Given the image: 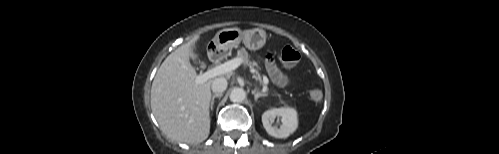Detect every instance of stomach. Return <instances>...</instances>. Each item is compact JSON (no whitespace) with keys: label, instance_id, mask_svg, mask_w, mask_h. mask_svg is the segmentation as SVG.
<instances>
[{"label":"stomach","instance_id":"0dacf381","mask_svg":"<svg viewBox=\"0 0 499 154\" xmlns=\"http://www.w3.org/2000/svg\"><path fill=\"white\" fill-rule=\"evenodd\" d=\"M240 42H243L249 50H259L266 43V32L260 28L245 31L239 28H227L219 31L213 39L216 49L222 51L232 49Z\"/></svg>","mask_w":499,"mask_h":154}]
</instances>
